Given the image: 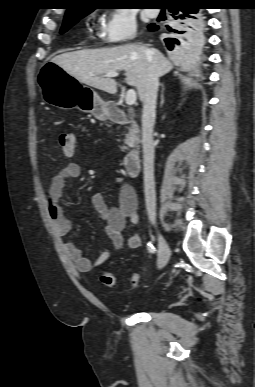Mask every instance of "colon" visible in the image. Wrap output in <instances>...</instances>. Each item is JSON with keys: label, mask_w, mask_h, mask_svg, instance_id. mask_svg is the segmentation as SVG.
Returning <instances> with one entry per match:
<instances>
[{"label": "colon", "mask_w": 255, "mask_h": 387, "mask_svg": "<svg viewBox=\"0 0 255 387\" xmlns=\"http://www.w3.org/2000/svg\"><path fill=\"white\" fill-rule=\"evenodd\" d=\"M59 147L61 152L65 156H71L75 151L76 139L73 133L64 131L59 135ZM99 281L101 284L108 288H114L117 286L116 277L107 271H104L100 274ZM130 284L133 287H136L140 283V275L138 273H132L129 278Z\"/></svg>", "instance_id": "5ec220e1"}]
</instances>
